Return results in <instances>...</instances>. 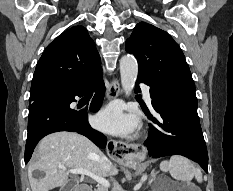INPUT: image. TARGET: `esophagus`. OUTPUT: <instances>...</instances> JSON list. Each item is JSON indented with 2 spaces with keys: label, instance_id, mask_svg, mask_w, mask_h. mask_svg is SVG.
Masks as SVG:
<instances>
[{
  "label": "esophagus",
  "instance_id": "1",
  "mask_svg": "<svg viewBox=\"0 0 233 191\" xmlns=\"http://www.w3.org/2000/svg\"><path fill=\"white\" fill-rule=\"evenodd\" d=\"M120 93V84L117 79H113L107 90L108 99H116ZM107 151L109 156L114 158L117 164H131L140 160L145 154V148L140 144H126L122 141L109 139Z\"/></svg>",
  "mask_w": 233,
  "mask_h": 191
}]
</instances>
